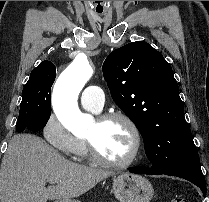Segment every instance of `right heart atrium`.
<instances>
[{"label": "right heart atrium", "instance_id": "right-heart-atrium-1", "mask_svg": "<svg viewBox=\"0 0 209 202\" xmlns=\"http://www.w3.org/2000/svg\"><path fill=\"white\" fill-rule=\"evenodd\" d=\"M46 141L64 155L72 156L82 140L72 135L55 115H50L43 128Z\"/></svg>", "mask_w": 209, "mask_h": 202}]
</instances>
